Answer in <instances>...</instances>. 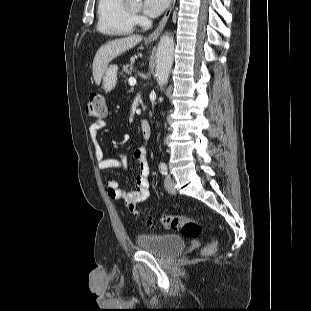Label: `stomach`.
I'll list each match as a JSON object with an SVG mask.
<instances>
[{
    "label": "stomach",
    "instance_id": "1",
    "mask_svg": "<svg viewBox=\"0 0 311 311\" xmlns=\"http://www.w3.org/2000/svg\"><path fill=\"white\" fill-rule=\"evenodd\" d=\"M117 65H110L104 71L102 76V88L106 92L112 91L117 84Z\"/></svg>",
    "mask_w": 311,
    "mask_h": 311
}]
</instances>
